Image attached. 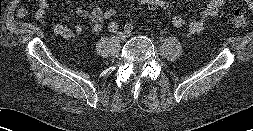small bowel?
<instances>
[{
  "instance_id": "small-bowel-1",
  "label": "small bowel",
  "mask_w": 253,
  "mask_h": 131,
  "mask_svg": "<svg viewBox=\"0 0 253 131\" xmlns=\"http://www.w3.org/2000/svg\"><path fill=\"white\" fill-rule=\"evenodd\" d=\"M40 1V11L42 14L54 9L53 5L48 0ZM226 0H208L207 4L200 9L197 18L191 21L181 15H175L171 19V23L175 28H183L188 26V31L192 35H198L202 33L208 26V21L215 17L222 6L225 4ZM103 7L98 6L92 10H88L83 6H79L76 10V14L80 19L89 20L93 24V30L95 32H100L102 30L103 20ZM18 17L24 18L27 15V9L21 7L18 10ZM82 27L80 25H75L73 28L55 24L53 26V32L65 39H71L82 32Z\"/></svg>"
}]
</instances>
